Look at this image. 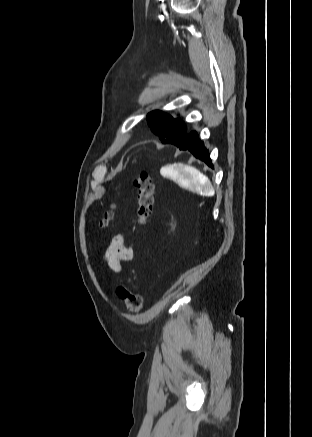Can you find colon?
<instances>
[{"mask_svg":"<svg viewBox=\"0 0 312 437\" xmlns=\"http://www.w3.org/2000/svg\"><path fill=\"white\" fill-rule=\"evenodd\" d=\"M133 186L137 192V219L140 225L146 226L150 220L154 204L152 178L146 171H138L133 177ZM113 219V213L107 212L100 223L101 227H109ZM116 292L125 303L128 311L137 313L142 309L143 299L140 294L131 291L125 285H119Z\"/></svg>","mask_w":312,"mask_h":437,"instance_id":"1","label":"colon"}]
</instances>
